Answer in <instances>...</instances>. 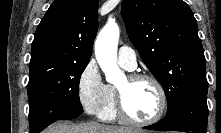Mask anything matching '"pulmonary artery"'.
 Masks as SVG:
<instances>
[{"label": "pulmonary artery", "mask_w": 221, "mask_h": 133, "mask_svg": "<svg viewBox=\"0 0 221 133\" xmlns=\"http://www.w3.org/2000/svg\"><path fill=\"white\" fill-rule=\"evenodd\" d=\"M118 63L127 70L135 69L137 65L135 51L128 46H122L118 51Z\"/></svg>", "instance_id": "obj_1"}]
</instances>
